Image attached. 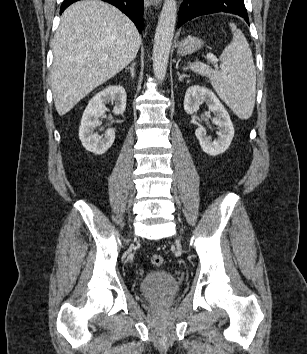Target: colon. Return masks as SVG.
Returning <instances> with one entry per match:
<instances>
[{
	"label": "colon",
	"instance_id": "colon-1",
	"mask_svg": "<svg viewBox=\"0 0 307 354\" xmlns=\"http://www.w3.org/2000/svg\"><path fill=\"white\" fill-rule=\"evenodd\" d=\"M151 263L157 267L162 266L164 263V258L159 254H154L151 256Z\"/></svg>",
	"mask_w": 307,
	"mask_h": 354
}]
</instances>
